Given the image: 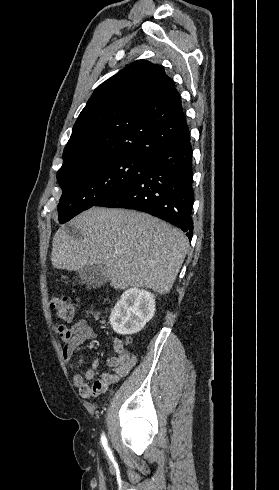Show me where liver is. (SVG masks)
I'll list each match as a JSON object with an SVG mask.
<instances>
[{"label":"liver","mask_w":279,"mask_h":490,"mask_svg":"<svg viewBox=\"0 0 279 490\" xmlns=\"http://www.w3.org/2000/svg\"><path fill=\"white\" fill-rule=\"evenodd\" d=\"M70 224L81 230L83 240H74L64 226L59 228L50 256L53 268L78 272L87 266H104L115 290L170 292L189 244L181 230L149 214L122 208H90Z\"/></svg>","instance_id":"liver-1"}]
</instances>
